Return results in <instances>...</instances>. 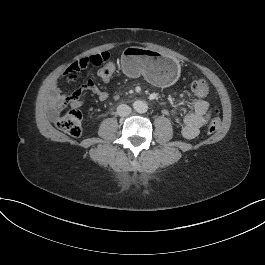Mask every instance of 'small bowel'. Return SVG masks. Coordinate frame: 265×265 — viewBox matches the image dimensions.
<instances>
[{
	"instance_id": "small-bowel-1",
	"label": "small bowel",
	"mask_w": 265,
	"mask_h": 265,
	"mask_svg": "<svg viewBox=\"0 0 265 265\" xmlns=\"http://www.w3.org/2000/svg\"><path fill=\"white\" fill-rule=\"evenodd\" d=\"M83 91H88L95 95L100 101L108 99V92L102 90L92 80H86L71 94L66 95L62 93L59 86L55 84L50 96V114L54 117L57 112L66 106L72 108H79L83 105L80 95ZM164 113L168 116H182L181 133L187 139L197 137L200 130L207 124L211 117V109L209 103L204 99H197L193 102L192 110L183 111L181 107L175 106L171 109L165 110Z\"/></svg>"
}]
</instances>
